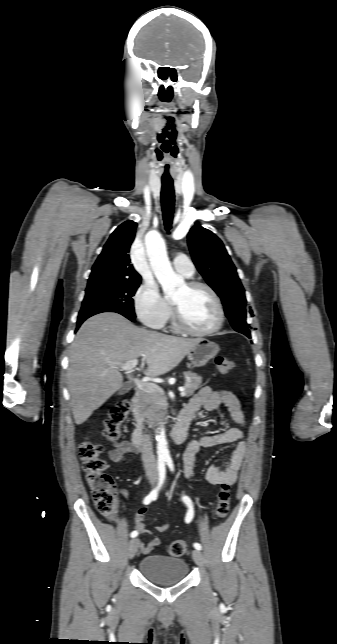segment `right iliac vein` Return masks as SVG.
Masks as SVG:
<instances>
[{
	"label": "right iliac vein",
	"mask_w": 337,
	"mask_h": 644,
	"mask_svg": "<svg viewBox=\"0 0 337 644\" xmlns=\"http://www.w3.org/2000/svg\"><path fill=\"white\" fill-rule=\"evenodd\" d=\"M156 481V478L154 476L150 477V483L154 484ZM140 540L138 538H134L130 540L129 545H128V557L129 559H132L139 547Z\"/></svg>",
	"instance_id": "63e3f726"
}]
</instances>
